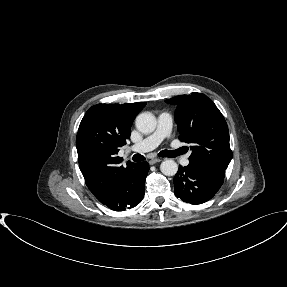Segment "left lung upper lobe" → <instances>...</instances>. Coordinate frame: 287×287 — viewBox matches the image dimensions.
I'll use <instances>...</instances> for the list:
<instances>
[{"mask_svg":"<svg viewBox=\"0 0 287 287\" xmlns=\"http://www.w3.org/2000/svg\"><path fill=\"white\" fill-rule=\"evenodd\" d=\"M166 102L176 105L179 139L191 145L189 161L225 171L232 159L229 131L223 115L211 99L194 92Z\"/></svg>","mask_w":287,"mask_h":287,"instance_id":"1","label":"left lung upper lobe"}]
</instances>
